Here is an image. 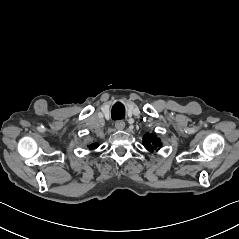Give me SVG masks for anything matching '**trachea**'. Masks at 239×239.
<instances>
[{"instance_id":"obj_1","label":"trachea","mask_w":239,"mask_h":239,"mask_svg":"<svg viewBox=\"0 0 239 239\" xmlns=\"http://www.w3.org/2000/svg\"><path fill=\"white\" fill-rule=\"evenodd\" d=\"M125 117V107L121 102H116L112 107V119L118 120Z\"/></svg>"}]
</instances>
